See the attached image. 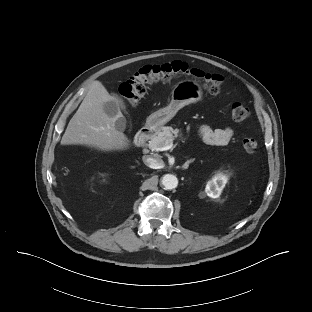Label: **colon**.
<instances>
[{"instance_id":"1","label":"colon","mask_w":312,"mask_h":312,"mask_svg":"<svg viewBox=\"0 0 312 312\" xmlns=\"http://www.w3.org/2000/svg\"><path fill=\"white\" fill-rule=\"evenodd\" d=\"M179 77H190L200 82L212 94L220 91L223 81L218 74L206 73L197 68H190L180 61H174L143 66L129 80L120 85L119 93L130 106H136L146 94L149 85L169 83ZM230 115L233 121L242 122L248 118L249 111L245 105L234 103L231 106ZM242 146L250 154L256 153L259 148L257 139L253 137L244 138Z\"/></svg>"}]
</instances>
